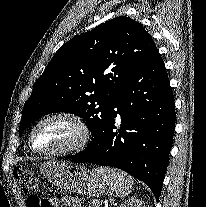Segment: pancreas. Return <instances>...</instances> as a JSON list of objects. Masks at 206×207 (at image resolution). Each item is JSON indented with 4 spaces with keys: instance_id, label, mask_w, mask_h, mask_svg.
Listing matches in <instances>:
<instances>
[{
    "instance_id": "1",
    "label": "pancreas",
    "mask_w": 206,
    "mask_h": 207,
    "mask_svg": "<svg viewBox=\"0 0 206 207\" xmlns=\"http://www.w3.org/2000/svg\"><path fill=\"white\" fill-rule=\"evenodd\" d=\"M88 207H100V202L98 200H93L92 203L88 205Z\"/></svg>"
}]
</instances>
